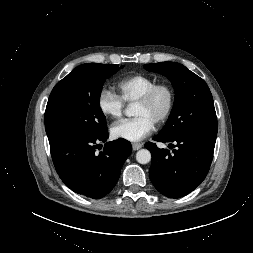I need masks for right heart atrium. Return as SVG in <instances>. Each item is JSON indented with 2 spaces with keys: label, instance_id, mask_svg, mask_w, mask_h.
<instances>
[{
  "label": "right heart atrium",
  "instance_id": "1",
  "mask_svg": "<svg viewBox=\"0 0 253 253\" xmlns=\"http://www.w3.org/2000/svg\"><path fill=\"white\" fill-rule=\"evenodd\" d=\"M97 106L102 115L112 119L120 118L124 112L123 100L110 90H102L99 93Z\"/></svg>",
  "mask_w": 253,
  "mask_h": 253
}]
</instances>
